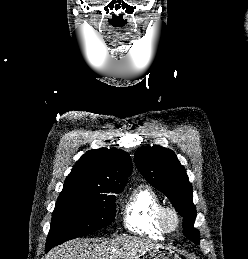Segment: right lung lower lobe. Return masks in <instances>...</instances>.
<instances>
[{
	"label": "right lung lower lobe",
	"mask_w": 248,
	"mask_h": 259,
	"mask_svg": "<svg viewBox=\"0 0 248 259\" xmlns=\"http://www.w3.org/2000/svg\"><path fill=\"white\" fill-rule=\"evenodd\" d=\"M51 247H53V245L46 243V252L50 250Z\"/></svg>",
	"instance_id": "right-lung-lower-lobe-1"
}]
</instances>
